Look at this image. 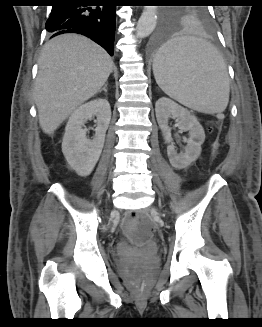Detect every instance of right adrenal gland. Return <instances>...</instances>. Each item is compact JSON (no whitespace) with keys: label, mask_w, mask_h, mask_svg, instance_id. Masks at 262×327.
<instances>
[{"label":"right adrenal gland","mask_w":262,"mask_h":327,"mask_svg":"<svg viewBox=\"0 0 262 327\" xmlns=\"http://www.w3.org/2000/svg\"><path fill=\"white\" fill-rule=\"evenodd\" d=\"M102 91H104L105 93H107V84L99 91V93H101Z\"/></svg>","instance_id":"1"}]
</instances>
